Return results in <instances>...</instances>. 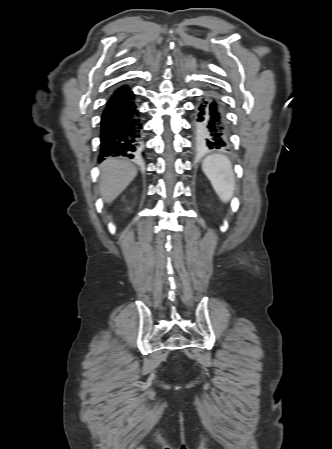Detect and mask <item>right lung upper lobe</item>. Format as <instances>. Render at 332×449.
<instances>
[{
    "label": "right lung upper lobe",
    "mask_w": 332,
    "mask_h": 449,
    "mask_svg": "<svg viewBox=\"0 0 332 449\" xmlns=\"http://www.w3.org/2000/svg\"><path fill=\"white\" fill-rule=\"evenodd\" d=\"M127 89H129V88L126 85H124V86H121L120 88H118L116 91H124Z\"/></svg>",
    "instance_id": "1"
}]
</instances>
